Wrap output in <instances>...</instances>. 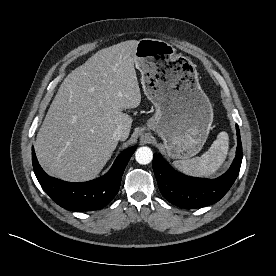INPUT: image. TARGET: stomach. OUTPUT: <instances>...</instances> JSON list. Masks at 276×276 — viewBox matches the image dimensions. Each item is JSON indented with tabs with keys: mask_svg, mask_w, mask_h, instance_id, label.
Returning a JSON list of instances; mask_svg holds the SVG:
<instances>
[{
	"mask_svg": "<svg viewBox=\"0 0 276 276\" xmlns=\"http://www.w3.org/2000/svg\"><path fill=\"white\" fill-rule=\"evenodd\" d=\"M134 63L156 109L148 128L162 138L169 157L195 156L213 122V108L199 84L196 65L168 42L151 38L138 41Z\"/></svg>",
	"mask_w": 276,
	"mask_h": 276,
	"instance_id": "1",
	"label": "stomach"
}]
</instances>
